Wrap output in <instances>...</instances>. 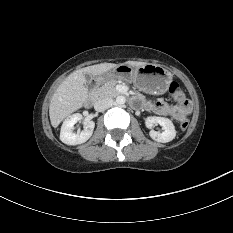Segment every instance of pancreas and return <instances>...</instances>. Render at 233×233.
<instances>
[{"label": "pancreas", "mask_w": 233, "mask_h": 233, "mask_svg": "<svg viewBox=\"0 0 233 233\" xmlns=\"http://www.w3.org/2000/svg\"><path fill=\"white\" fill-rule=\"evenodd\" d=\"M117 83L118 82L116 80L109 81L101 87L94 89L92 94L96 99L114 98L120 94L115 87Z\"/></svg>", "instance_id": "obj_1"}]
</instances>
